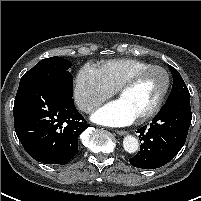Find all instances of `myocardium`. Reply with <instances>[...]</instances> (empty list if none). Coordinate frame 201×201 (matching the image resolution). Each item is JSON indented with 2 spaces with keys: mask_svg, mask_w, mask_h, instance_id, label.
Returning a JSON list of instances; mask_svg holds the SVG:
<instances>
[{
  "mask_svg": "<svg viewBox=\"0 0 201 201\" xmlns=\"http://www.w3.org/2000/svg\"><path fill=\"white\" fill-rule=\"evenodd\" d=\"M154 70H159L163 73L165 79L164 87L155 105L149 111L137 117L139 121H146L148 119L155 117L162 109L171 85V78L168 70L160 65H151L149 67L137 71L136 73L128 77L117 89V95L118 97H120L126 90L133 87L144 76H146L148 73Z\"/></svg>",
  "mask_w": 201,
  "mask_h": 201,
  "instance_id": "f54148a6",
  "label": "myocardium"
}]
</instances>
